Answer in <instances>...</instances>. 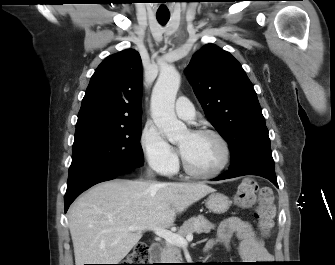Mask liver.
Instances as JSON below:
<instances>
[{
  "label": "liver",
  "mask_w": 335,
  "mask_h": 265,
  "mask_svg": "<svg viewBox=\"0 0 335 265\" xmlns=\"http://www.w3.org/2000/svg\"><path fill=\"white\" fill-rule=\"evenodd\" d=\"M214 191L203 183L138 180L94 186L69 209L75 265L118 264L145 230L170 227L176 214ZM130 226L139 229L123 230Z\"/></svg>",
  "instance_id": "1"
}]
</instances>
